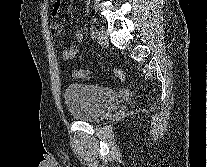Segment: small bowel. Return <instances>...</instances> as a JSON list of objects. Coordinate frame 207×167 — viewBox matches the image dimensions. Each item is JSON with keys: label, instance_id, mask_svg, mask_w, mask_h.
Instances as JSON below:
<instances>
[{"label": "small bowel", "instance_id": "small-bowel-1", "mask_svg": "<svg viewBox=\"0 0 207 167\" xmlns=\"http://www.w3.org/2000/svg\"><path fill=\"white\" fill-rule=\"evenodd\" d=\"M62 0H55V4L53 7L52 15L54 17L53 21V28L57 34H60L62 32V26L61 24L56 20L59 10H60V4ZM77 38L81 40L83 38V32L79 30L77 32ZM80 51L77 47H70V48H64L61 52L62 58L64 61H70L76 58L79 55Z\"/></svg>", "mask_w": 207, "mask_h": 167}]
</instances>
